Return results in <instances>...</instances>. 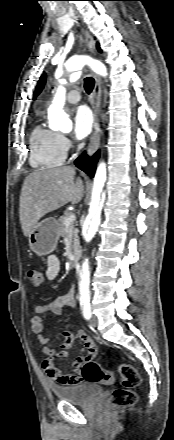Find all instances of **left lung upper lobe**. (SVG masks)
<instances>
[{
	"label": "left lung upper lobe",
	"mask_w": 174,
	"mask_h": 440,
	"mask_svg": "<svg viewBox=\"0 0 174 440\" xmlns=\"http://www.w3.org/2000/svg\"><path fill=\"white\" fill-rule=\"evenodd\" d=\"M97 49H98L99 51H101V49H100V47H99V44H97ZM45 81H46V75L43 74V75L41 76L40 80H39V83H38L37 87H36V90H35V93H34V99H35V97L41 92V90L43 89L44 84H45Z\"/></svg>",
	"instance_id": "left-lung-upper-lobe-1"
}]
</instances>
